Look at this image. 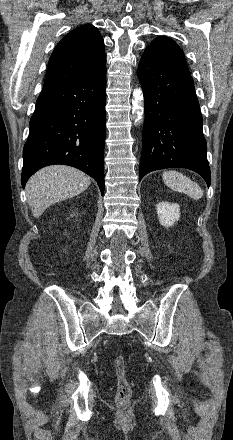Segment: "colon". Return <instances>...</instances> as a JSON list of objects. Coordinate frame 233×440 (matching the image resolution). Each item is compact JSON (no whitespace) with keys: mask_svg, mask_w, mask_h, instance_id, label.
Wrapping results in <instances>:
<instances>
[{"mask_svg":"<svg viewBox=\"0 0 233 440\" xmlns=\"http://www.w3.org/2000/svg\"><path fill=\"white\" fill-rule=\"evenodd\" d=\"M114 367L118 382L116 392V403L119 407L129 405L132 395V388L126 377V360L123 356H117L114 360Z\"/></svg>","mask_w":233,"mask_h":440,"instance_id":"obj_1","label":"colon"}]
</instances>
